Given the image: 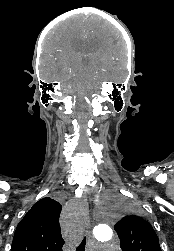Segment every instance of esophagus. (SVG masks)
Instances as JSON below:
<instances>
[{
    "label": "esophagus",
    "mask_w": 174,
    "mask_h": 251,
    "mask_svg": "<svg viewBox=\"0 0 174 251\" xmlns=\"http://www.w3.org/2000/svg\"><path fill=\"white\" fill-rule=\"evenodd\" d=\"M81 215H82L83 228L86 230L88 234H90L91 226H90L89 207L87 199H84L82 202Z\"/></svg>",
    "instance_id": "obj_1"
}]
</instances>
